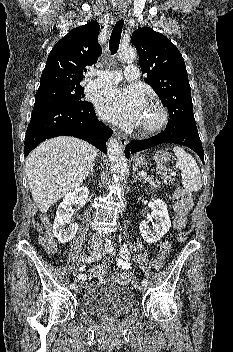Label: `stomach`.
<instances>
[{
  "instance_id": "stomach-1",
  "label": "stomach",
  "mask_w": 233,
  "mask_h": 352,
  "mask_svg": "<svg viewBox=\"0 0 233 352\" xmlns=\"http://www.w3.org/2000/svg\"><path fill=\"white\" fill-rule=\"evenodd\" d=\"M135 163L137 166H143L145 164V158L143 156H139L135 159Z\"/></svg>"
}]
</instances>
